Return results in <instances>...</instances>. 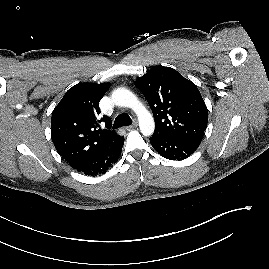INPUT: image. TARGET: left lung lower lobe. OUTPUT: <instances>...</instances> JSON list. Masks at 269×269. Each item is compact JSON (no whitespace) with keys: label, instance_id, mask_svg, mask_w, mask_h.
I'll return each mask as SVG.
<instances>
[{"label":"left lung lower lobe","instance_id":"0a47b994","mask_svg":"<svg viewBox=\"0 0 269 269\" xmlns=\"http://www.w3.org/2000/svg\"><path fill=\"white\" fill-rule=\"evenodd\" d=\"M202 138H170L153 134L150 138L152 147L170 160H183L190 156L200 145Z\"/></svg>","mask_w":269,"mask_h":269}]
</instances>
